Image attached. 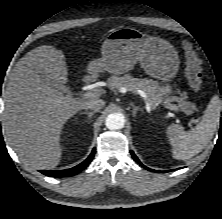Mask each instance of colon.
<instances>
[{
    "label": "colon",
    "mask_w": 222,
    "mask_h": 219,
    "mask_svg": "<svg viewBox=\"0 0 222 219\" xmlns=\"http://www.w3.org/2000/svg\"><path fill=\"white\" fill-rule=\"evenodd\" d=\"M185 55V76L193 91H200L203 86L201 61L190 42L183 44Z\"/></svg>",
    "instance_id": "5ec220e1"
}]
</instances>
